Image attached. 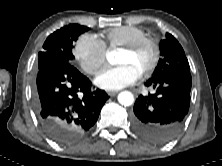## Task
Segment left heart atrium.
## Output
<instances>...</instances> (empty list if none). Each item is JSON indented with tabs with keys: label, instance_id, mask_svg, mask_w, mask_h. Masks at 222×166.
I'll list each match as a JSON object with an SVG mask.
<instances>
[{
	"label": "left heart atrium",
	"instance_id": "1",
	"mask_svg": "<svg viewBox=\"0 0 222 166\" xmlns=\"http://www.w3.org/2000/svg\"><path fill=\"white\" fill-rule=\"evenodd\" d=\"M140 75L141 73L134 66L124 63L105 68L98 74L95 83L104 90H119L135 83Z\"/></svg>",
	"mask_w": 222,
	"mask_h": 166
}]
</instances>
